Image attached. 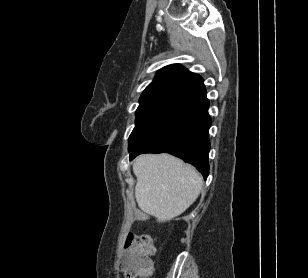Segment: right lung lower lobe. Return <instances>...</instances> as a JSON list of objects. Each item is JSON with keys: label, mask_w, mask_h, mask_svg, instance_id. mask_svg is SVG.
Returning a JSON list of instances; mask_svg holds the SVG:
<instances>
[{"label": "right lung lower lobe", "mask_w": 308, "mask_h": 278, "mask_svg": "<svg viewBox=\"0 0 308 278\" xmlns=\"http://www.w3.org/2000/svg\"><path fill=\"white\" fill-rule=\"evenodd\" d=\"M209 101L204 99L182 115L176 116L162 130L130 150V159L142 153H170L194 164L206 179L210 150Z\"/></svg>", "instance_id": "right-lung-lower-lobe-1"}]
</instances>
